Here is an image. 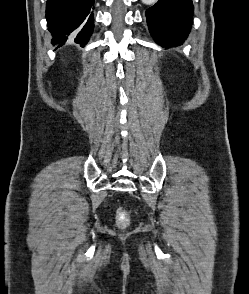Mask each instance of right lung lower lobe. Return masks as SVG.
<instances>
[{"instance_id": "98d812e1", "label": "right lung lower lobe", "mask_w": 249, "mask_h": 294, "mask_svg": "<svg viewBox=\"0 0 249 294\" xmlns=\"http://www.w3.org/2000/svg\"><path fill=\"white\" fill-rule=\"evenodd\" d=\"M95 0H47L46 18L53 35L52 44L62 46L74 41L81 47L88 42L93 30Z\"/></svg>"}]
</instances>
